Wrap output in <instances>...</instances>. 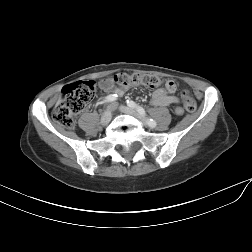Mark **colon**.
Wrapping results in <instances>:
<instances>
[{
    "mask_svg": "<svg viewBox=\"0 0 252 252\" xmlns=\"http://www.w3.org/2000/svg\"><path fill=\"white\" fill-rule=\"evenodd\" d=\"M109 84L117 88H127L133 84H143L148 87H160L162 85L170 88L176 86L173 81L165 82L158 76L142 73H118L106 80ZM97 85L94 81H79L68 85L64 91L61 100L53 110V118L56 122L65 128L74 126V117L84 109V107L95 97ZM184 106L188 112L196 109V101L187 91L182 92ZM181 110L177 109V113Z\"/></svg>",
    "mask_w": 252,
    "mask_h": 252,
    "instance_id": "colon-1",
    "label": "colon"
}]
</instances>
